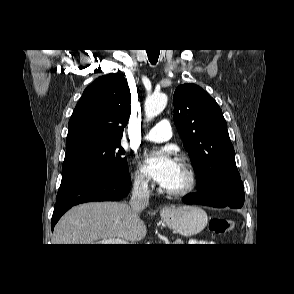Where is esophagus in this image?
<instances>
[{
	"label": "esophagus",
	"mask_w": 294,
	"mask_h": 294,
	"mask_svg": "<svg viewBox=\"0 0 294 294\" xmlns=\"http://www.w3.org/2000/svg\"><path fill=\"white\" fill-rule=\"evenodd\" d=\"M162 211L163 213L171 212V207H165Z\"/></svg>",
	"instance_id": "obj_1"
}]
</instances>
